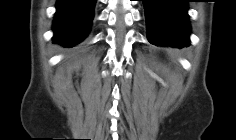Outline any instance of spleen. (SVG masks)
Segmentation results:
<instances>
[{
	"instance_id": "spleen-1",
	"label": "spleen",
	"mask_w": 236,
	"mask_h": 140,
	"mask_svg": "<svg viewBox=\"0 0 236 140\" xmlns=\"http://www.w3.org/2000/svg\"><path fill=\"white\" fill-rule=\"evenodd\" d=\"M173 53H174V52H173ZM176 54L178 55V51H175V55H176Z\"/></svg>"
}]
</instances>
